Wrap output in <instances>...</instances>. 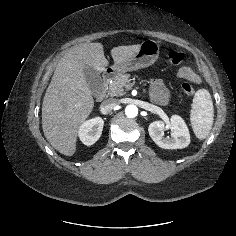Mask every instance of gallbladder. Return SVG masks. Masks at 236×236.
<instances>
[{"mask_svg":"<svg viewBox=\"0 0 236 236\" xmlns=\"http://www.w3.org/2000/svg\"><path fill=\"white\" fill-rule=\"evenodd\" d=\"M83 71L91 92L98 93L102 86L100 73L90 66H85Z\"/></svg>","mask_w":236,"mask_h":236,"instance_id":"1","label":"gallbladder"}]
</instances>
